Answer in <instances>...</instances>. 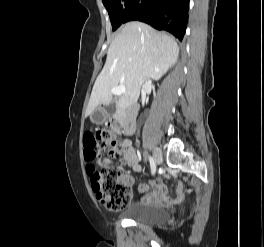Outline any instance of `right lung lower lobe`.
<instances>
[{
	"label": "right lung lower lobe",
	"instance_id": "1",
	"mask_svg": "<svg viewBox=\"0 0 264 247\" xmlns=\"http://www.w3.org/2000/svg\"><path fill=\"white\" fill-rule=\"evenodd\" d=\"M189 0H134L122 23L138 20L166 30L180 41L186 31Z\"/></svg>",
	"mask_w": 264,
	"mask_h": 247
}]
</instances>
